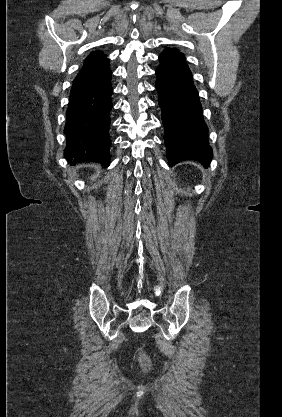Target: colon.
<instances>
[{
	"label": "colon",
	"instance_id": "obj_1",
	"mask_svg": "<svg viewBox=\"0 0 282 417\" xmlns=\"http://www.w3.org/2000/svg\"><path fill=\"white\" fill-rule=\"evenodd\" d=\"M137 358L138 361L141 365V367L143 368V370L145 371H150L152 368V360L151 358L142 350L141 347L138 348L137 350Z\"/></svg>",
	"mask_w": 282,
	"mask_h": 417
}]
</instances>
